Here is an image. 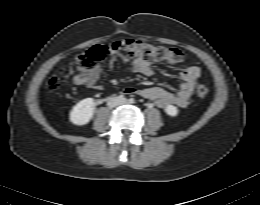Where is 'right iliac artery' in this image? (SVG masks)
Returning <instances> with one entry per match:
<instances>
[{"mask_svg": "<svg viewBox=\"0 0 260 205\" xmlns=\"http://www.w3.org/2000/svg\"><path fill=\"white\" fill-rule=\"evenodd\" d=\"M117 98H118L120 101L125 99V97H124L123 95H119Z\"/></svg>", "mask_w": 260, "mask_h": 205, "instance_id": "1", "label": "right iliac artery"}]
</instances>
